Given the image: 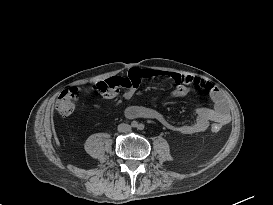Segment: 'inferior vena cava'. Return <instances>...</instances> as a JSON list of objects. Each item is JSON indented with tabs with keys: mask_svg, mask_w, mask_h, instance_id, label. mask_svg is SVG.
I'll use <instances>...</instances> for the list:
<instances>
[{
	"mask_svg": "<svg viewBox=\"0 0 273 205\" xmlns=\"http://www.w3.org/2000/svg\"><path fill=\"white\" fill-rule=\"evenodd\" d=\"M131 130V126L126 123H121L118 125V131L127 133Z\"/></svg>",
	"mask_w": 273,
	"mask_h": 205,
	"instance_id": "obj_1",
	"label": "inferior vena cava"
}]
</instances>
